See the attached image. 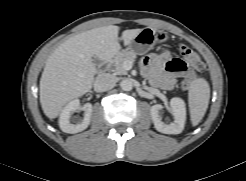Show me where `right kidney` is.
Returning <instances> with one entry per match:
<instances>
[{
	"mask_svg": "<svg viewBox=\"0 0 246 181\" xmlns=\"http://www.w3.org/2000/svg\"><path fill=\"white\" fill-rule=\"evenodd\" d=\"M78 110L84 111V118L82 120H75L74 124L71 123V115ZM92 104L86 103L82 107L80 106V101L74 99L70 101L62 110L59 117L60 129L65 133L75 134L85 130L91 120L92 115Z\"/></svg>",
	"mask_w": 246,
	"mask_h": 181,
	"instance_id": "ca27d5eb",
	"label": "right kidney"
}]
</instances>
